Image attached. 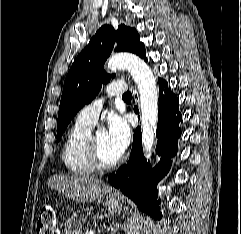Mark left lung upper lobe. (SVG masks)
<instances>
[{
    "mask_svg": "<svg viewBox=\"0 0 241 234\" xmlns=\"http://www.w3.org/2000/svg\"><path fill=\"white\" fill-rule=\"evenodd\" d=\"M117 41L116 51H127L146 59V50L135 28L102 26L77 56L64 82L57 120V142L76 113L90 103L115 75L104 71V64Z\"/></svg>",
    "mask_w": 241,
    "mask_h": 234,
    "instance_id": "1",
    "label": "left lung upper lobe"
}]
</instances>
